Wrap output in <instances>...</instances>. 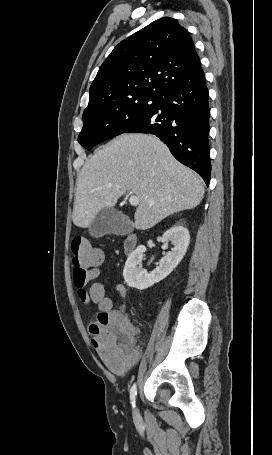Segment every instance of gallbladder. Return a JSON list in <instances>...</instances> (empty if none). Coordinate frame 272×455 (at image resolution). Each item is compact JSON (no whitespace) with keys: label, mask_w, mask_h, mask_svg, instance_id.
<instances>
[{"label":"gallbladder","mask_w":272,"mask_h":455,"mask_svg":"<svg viewBox=\"0 0 272 455\" xmlns=\"http://www.w3.org/2000/svg\"><path fill=\"white\" fill-rule=\"evenodd\" d=\"M133 231L130 220L114 208L101 210L89 226V233L93 237H102L106 234L127 235Z\"/></svg>","instance_id":"bac80fb5"}]
</instances>
